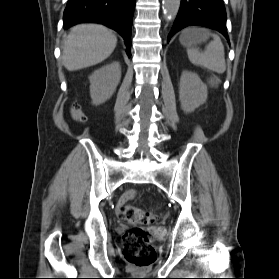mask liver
Wrapping results in <instances>:
<instances>
[{"label": "liver", "instance_id": "1", "mask_svg": "<svg viewBox=\"0 0 279 279\" xmlns=\"http://www.w3.org/2000/svg\"><path fill=\"white\" fill-rule=\"evenodd\" d=\"M116 44V36L102 25H77L64 39L62 64L69 71L96 65L111 55Z\"/></svg>", "mask_w": 279, "mask_h": 279}]
</instances>
